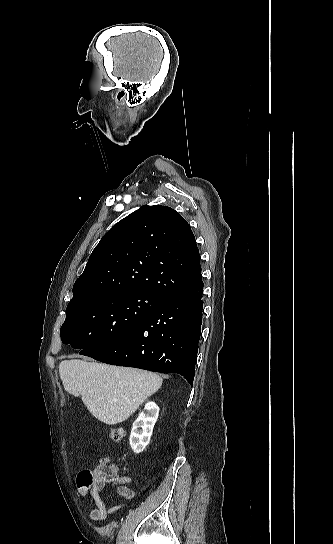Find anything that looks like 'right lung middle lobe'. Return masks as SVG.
<instances>
[{
    "label": "right lung middle lobe",
    "instance_id": "dd1d6c3e",
    "mask_svg": "<svg viewBox=\"0 0 333 544\" xmlns=\"http://www.w3.org/2000/svg\"><path fill=\"white\" fill-rule=\"evenodd\" d=\"M164 298L146 292L102 294L69 303L60 334L85 354L92 347L114 339L146 318Z\"/></svg>",
    "mask_w": 333,
    "mask_h": 544
}]
</instances>
